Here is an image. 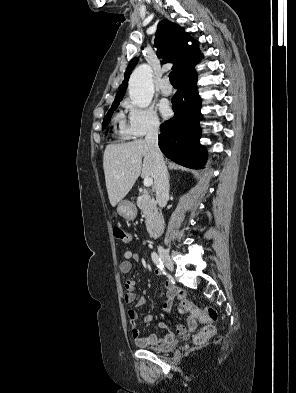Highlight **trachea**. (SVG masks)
Returning a JSON list of instances; mask_svg holds the SVG:
<instances>
[{
	"instance_id": "3493384b",
	"label": "trachea",
	"mask_w": 296,
	"mask_h": 393,
	"mask_svg": "<svg viewBox=\"0 0 296 393\" xmlns=\"http://www.w3.org/2000/svg\"><path fill=\"white\" fill-rule=\"evenodd\" d=\"M169 80H170L171 84H178L176 73L174 71L170 72Z\"/></svg>"
}]
</instances>
